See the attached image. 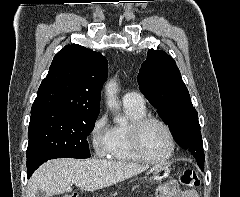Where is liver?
Listing matches in <instances>:
<instances>
[{
    "label": "liver",
    "mask_w": 240,
    "mask_h": 197,
    "mask_svg": "<svg viewBox=\"0 0 240 197\" xmlns=\"http://www.w3.org/2000/svg\"><path fill=\"white\" fill-rule=\"evenodd\" d=\"M148 166L99 159H54L42 164L31 176L27 197H35L37 190L48 196L72 191L75 184L81 190H99L131 178Z\"/></svg>",
    "instance_id": "6515ba94"
}]
</instances>
